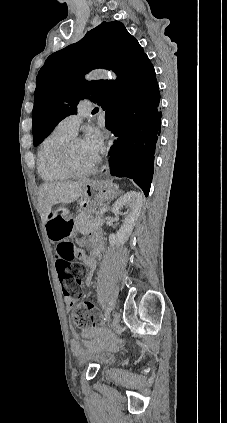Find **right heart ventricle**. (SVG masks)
<instances>
[{
    "label": "right heart ventricle",
    "mask_w": 227,
    "mask_h": 423,
    "mask_svg": "<svg viewBox=\"0 0 227 423\" xmlns=\"http://www.w3.org/2000/svg\"><path fill=\"white\" fill-rule=\"evenodd\" d=\"M74 137L61 127L53 129L39 144L37 151V171L46 182H58L67 178L58 161L61 146Z\"/></svg>",
    "instance_id": "obj_1"
}]
</instances>
